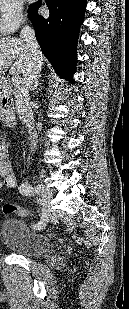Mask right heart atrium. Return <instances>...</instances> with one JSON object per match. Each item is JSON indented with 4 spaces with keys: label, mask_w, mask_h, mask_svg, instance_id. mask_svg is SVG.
I'll list each match as a JSON object with an SVG mask.
<instances>
[{
    "label": "right heart atrium",
    "mask_w": 129,
    "mask_h": 309,
    "mask_svg": "<svg viewBox=\"0 0 129 309\" xmlns=\"http://www.w3.org/2000/svg\"><path fill=\"white\" fill-rule=\"evenodd\" d=\"M22 0H0V33L8 36L24 23Z\"/></svg>",
    "instance_id": "d8ad5b80"
}]
</instances>
